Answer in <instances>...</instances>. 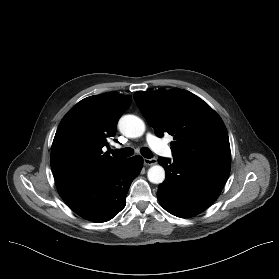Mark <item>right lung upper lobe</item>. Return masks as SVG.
<instances>
[{"mask_svg":"<svg viewBox=\"0 0 279 279\" xmlns=\"http://www.w3.org/2000/svg\"><path fill=\"white\" fill-rule=\"evenodd\" d=\"M132 97L101 94L78 102L61 120L51 152L57 188L108 171L126 158L103 153L107 139L116 133L117 121Z\"/></svg>","mask_w":279,"mask_h":279,"instance_id":"cb5924a9","label":"right lung upper lobe"}]
</instances>
